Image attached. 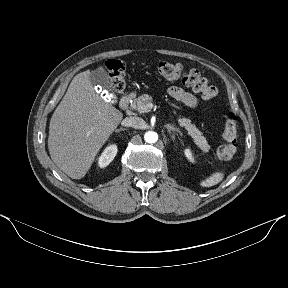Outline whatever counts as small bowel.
<instances>
[{"mask_svg":"<svg viewBox=\"0 0 288 288\" xmlns=\"http://www.w3.org/2000/svg\"><path fill=\"white\" fill-rule=\"evenodd\" d=\"M168 94L178 103L190 108H194L198 103V99L192 93L177 86L169 87Z\"/></svg>","mask_w":288,"mask_h":288,"instance_id":"obj_1","label":"small bowel"}]
</instances>
